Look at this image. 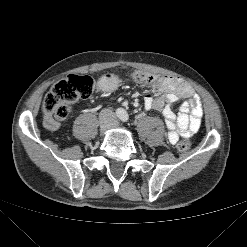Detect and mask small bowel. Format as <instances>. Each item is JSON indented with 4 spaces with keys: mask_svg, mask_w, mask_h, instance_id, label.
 <instances>
[{
    "mask_svg": "<svg viewBox=\"0 0 247 247\" xmlns=\"http://www.w3.org/2000/svg\"><path fill=\"white\" fill-rule=\"evenodd\" d=\"M160 93H147L144 97L145 110H158L162 112L168 129L167 139L176 144L180 137L189 138L194 135L201 125L202 107L198 95L191 86L178 78H166L159 87ZM179 98H188L178 114L172 106Z\"/></svg>",
    "mask_w": 247,
    "mask_h": 247,
    "instance_id": "small-bowel-1",
    "label": "small bowel"
}]
</instances>
